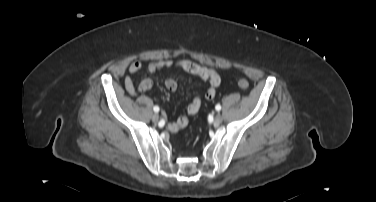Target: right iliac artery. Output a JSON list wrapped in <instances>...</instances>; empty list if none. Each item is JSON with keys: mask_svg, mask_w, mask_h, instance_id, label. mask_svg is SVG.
Instances as JSON below:
<instances>
[{"mask_svg": "<svg viewBox=\"0 0 376 202\" xmlns=\"http://www.w3.org/2000/svg\"><path fill=\"white\" fill-rule=\"evenodd\" d=\"M153 110H154V112H156V113H157V112H159V110H160V109H159V107H158V106H154Z\"/></svg>", "mask_w": 376, "mask_h": 202, "instance_id": "82829eb1", "label": "right iliac artery"}]
</instances>
